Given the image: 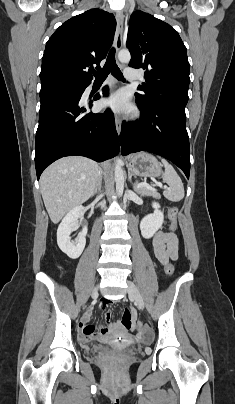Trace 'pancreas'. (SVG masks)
Segmentation results:
<instances>
[{
	"instance_id": "pancreas-1",
	"label": "pancreas",
	"mask_w": 235,
	"mask_h": 404,
	"mask_svg": "<svg viewBox=\"0 0 235 404\" xmlns=\"http://www.w3.org/2000/svg\"><path fill=\"white\" fill-rule=\"evenodd\" d=\"M141 195L152 196L154 198L159 199L161 196L158 192L149 190L147 188H141L138 190Z\"/></svg>"
}]
</instances>
